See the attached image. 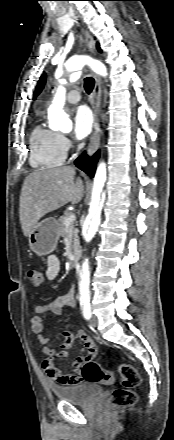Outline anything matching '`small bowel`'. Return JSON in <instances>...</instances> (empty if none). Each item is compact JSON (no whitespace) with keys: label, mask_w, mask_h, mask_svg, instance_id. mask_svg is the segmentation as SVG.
I'll return each instance as SVG.
<instances>
[{"label":"small bowel","mask_w":174,"mask_h":440,"mask_svg":"<svg viewBox=\"0 0 174 440\" xmlns=\"http://www.w3.org/2000/svg\"><path fill=\"white\" fill-rule=\"evenodd\" d=\"M61 271V262L59 258L52 254L47 258V268H46V278L48 280H54L58 277ZM76 307V302L74 299V289L70 287L66 293L53 299L49 304L46 305H35L34 312L36 315L31 319V327L33 332L36 334V340L38 345L42 348L43 353L58 358H66L68 356V350L72 346L73 342L77 339L81 342V349L77 356H75L72 361L73 371L71 373L61 372L54 364L52 359L46 360L44 362L47 365L45 369L48 377L59 384L62 385H75L81 382L80 372L84 363L89 359H94L97 354V346L95 345L92 338L84 331L78 330L73 333L70 329L64 331L65 342L59 348H51L48 346V338L45 336V326L40 314L51 312L54 315H60L64 308L74 309Z\"/></svg>","instance_id":"obj_1"}]
</instances>
